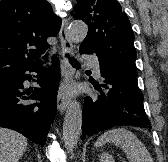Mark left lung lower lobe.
Listing matches in <instances>:
<instances>
[{
	"mask_svg": "<svg viewBox=\"0 0 168 162\" xmlns=\"http://www.w3.org/2000/svg\"><path fill=\"white\" fill-rule=\"evenodd\" d=\"M80 53L92 52L80 50ZM98 60L103 84L95 86V89L101 94L85 98L82 139L115 126L132 125L151 130L137 75L119 69L107 61Z\"/></svg>",
	"mask_w": 168,
	"mask_h": 162,
	"instance_id": "1",
	"label": "left lung lower lobe"
}]
</instances>
